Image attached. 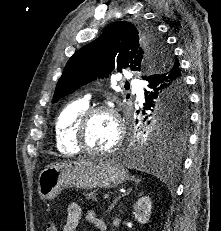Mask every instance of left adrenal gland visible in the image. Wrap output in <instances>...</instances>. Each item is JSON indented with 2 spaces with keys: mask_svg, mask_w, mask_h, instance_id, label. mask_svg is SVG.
Wrapping results in <instances>:
<instances>
[{
  "mask_svg": "<svg viewBox=\"0 0 221 231\" xmlns=\"http://www.w3.org/2000/svg\"><path fill=\"white\" fill-rule=\"evenodd\" d=\"M131 191H132V189L130 188V189L128 190L127 193L123 194L122 196L117 197V198L113 201V203L109 206L108 212H110V211L114 208V206L117 204V202H118L122 197H124L125 195H128Z\"/></svg>",
  "mask_w": 221,
  "mask_h": 231,
  "instance_id": "a2214340",
  "label": "left adrenal gland"
}]
</instances>
